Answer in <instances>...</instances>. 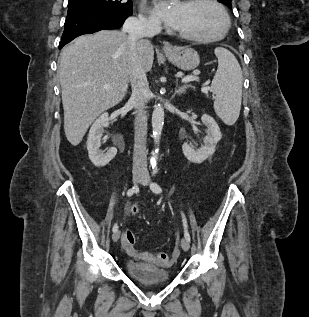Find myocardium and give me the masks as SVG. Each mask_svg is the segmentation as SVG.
Masks as SVG:
<instances>
[{
    "mask_svg": "<svg viewBox=\"0 0 309 317\" xmlns=\"http://www.w3.org/2000/svg\"><path fill=\"white\" fill-rule=\"evenodd\" d=\"M188 3H208L213 5L220 13L222 17V28L220 32L216 35L213 36H195V35H189V34H184L181 32L177 31V35L187 41L191 42H196V43H212V42H217L226 37L228 34L230 28H231V21L230 17L225 10L224 6L217 0H188Z\"/></svg>",
    "mask_w": 309,
    "mask_h": 317,
    "instance_id": "f54148a6",
    "label": "myocardium"
}]
</instances>
